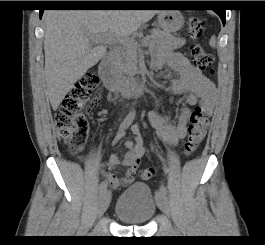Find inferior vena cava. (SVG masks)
Wrapping results in <instances>:
<instances>
[{
    "instance_id": "obj_1",
    "label": "inferior vena cava",
    "mask_w": 265,
    "mask_h": 245,
    "mask_svg": "<svg viewBox=\"0 0 265 245\" xmlns=\"http://www.w3.org/2000/svg\"><path fill=\"white\" fill-rule=\"evenodd\" d=\"M112 54L116 60L117 63H119L120 59H121V56H122V53H121V50L120 48L118 47H115L113 50H112Z\"/></svg>"
}]
</instances>
